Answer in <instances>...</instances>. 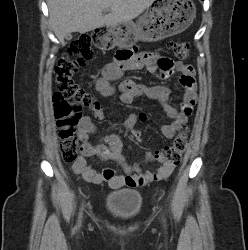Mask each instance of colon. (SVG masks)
I'll return each instance as SVG.
<instances>
[{"label":"colon","instance_id":"obj_1","mask_svg":"<svg viewBox=\"0 0 248 250\" xmlns=\"http://www.w3.org/2000/svg\"><path fill=\"white\" fill-rule=\"evenodd\" d=\"M94 37L84 34L69 45L67 54L62 56L56 67V83L59 92L54 95V114L60 139L61 155L65 162L77 163L81 158L77 125L83 108H95L98 101L80 87L74 80L78 70L94 57ZM173 54L180 59L188 58L190 46L186 42L172 41L168 44ZM132 54L123 50L117 54L118 61H124ZM191 109H187L189 113ZM134 139H140V133H132ZM188 146V128L184 127L175 137L173 143L162 149L164 159L177 165Z\"/></svg>","mask_w":248,"mask_h":250}]
</instances>
